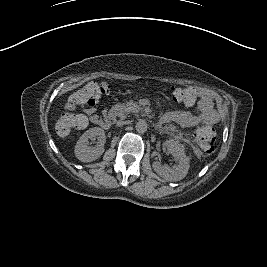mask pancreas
<instances>
[{
  "mask_svg": "<svg viewBox=\"0 0 267 267\" xmlns=\"http://www.w3.org/2000/svg\"><path fill=\"white\" fill-rule=\"evenodd\" d=\"M134 103L133 104H129V105H126L125 106V109L128 111V112H133L134 111Z\"/></svg>",
  "mask_w": 267,
  "mask_h": 267,
  "instance_id": "pancreas-1",
  "label": "pancreas"
}]
</instances>
